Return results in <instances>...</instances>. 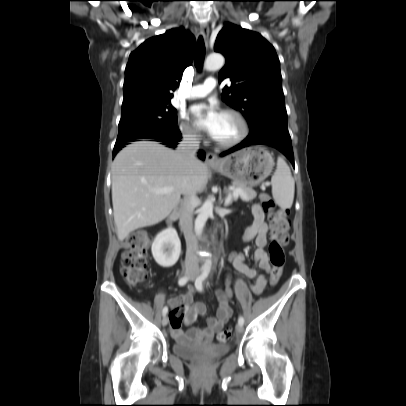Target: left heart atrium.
Segmentation results:
<instances>
[{
    "mask_svg": "<svg viewBox=\"0 0 406 406\" xmlns=\"http://www.w3.org/2000/svg\"><path fill=\"white\" fill-rule=\"evenodd\" d=\"M193 120L197 126L214 137L221 119L222 113L214 106L196 104L190 109Z\"/></svg>",
    "mask_w": 406,
    "mask_h": 406,
    "instance_id": "left-heart-atrium-1",
    "label": "left heart atrium"
}]
</instances>
